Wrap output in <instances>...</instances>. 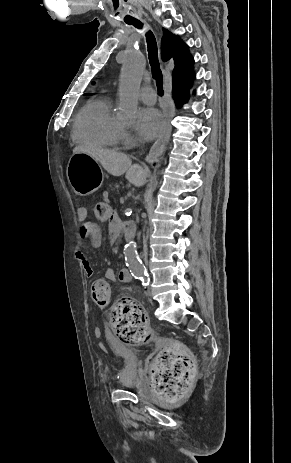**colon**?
<instances>
[{
    "label": "colon",
    "instance_id": "5ec220e1",
    "mask_svg": "<svg viewBox=\"0 0 291 463\" xmlns=\"http://www.w3.org/2000/svg\"><path fill=\"white\" fill-rule=\"evenodd\" d=\"M93 218L105 223L112 218V205H93ZM108 281L97 279L91 286V298L100 307L110 304ZM113 332L126 343H141L149 337L148 318L142 307L128 299L117 300L111 309ZM148 376L155 393L166 401H175L189 390L194 376V359L189 350L177 342L165 343L148 365Z\"/></svg>",
    "mask_w": 291,
    "mask_h": 463
}]
</instances>
